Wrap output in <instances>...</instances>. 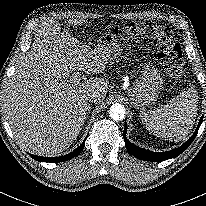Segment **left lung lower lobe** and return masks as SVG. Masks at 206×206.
Here are the masks:
<instances>
[{"label": "left lung lower lobe", "instance_id": "left-lung-lower-lobe-1", "mask_svg": "<svg viewBox=\"0 0 206 206\" xmlns=\"http://www.w3.org/2000/svg\"><path fill=\"white\" fill-rule=\"evenodd\" d=\"M202 121H203V117H201L196 131L189 138V140H187V142H185L179 148H175V149H173L171 151H167V152H152V151L140 148V147L135 146L132 143H130L126 137L127 124L125 121V128H124V132H123L125 146L131 155H133L134 157H136L138 159L144 160V161L160 162V161H164L167 159H171V158H174V157H177L178 155H180L193 142V140L195 139V137L198 133V130H199V127H200Z\"/></svg>", "mask_w": 206, "mask_h": 206}]
</instances>
